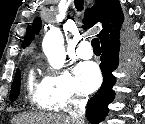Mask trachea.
Wrapping results in <instances>:
<instances>
[{"mask_svg":"<svg viewBox=\"0 0 145 124\" xmlns=\"http://www.w3.org/2000/svg\"><path fill=\"white\" fill-rule=\"evenodd\" d=\"M74 3L78 11H81L83 9V0H75ZM91 44L93 47V51H100V42L98 38L92 39Z\"/></svg>","mask_w":145,"mask_h":124,"instance_id":"3493384b","label":"trachea"}]
</instances>
